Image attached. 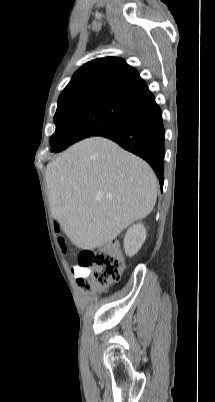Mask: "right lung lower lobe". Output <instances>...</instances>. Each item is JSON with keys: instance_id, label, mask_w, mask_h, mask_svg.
Segmentation results:
<instances>
[{"instance_id": "98d812e1", "label": "right lung lower lobe", "mask_w": 215, "mask_h": 402, "mask_svg": "<svg viewBox=\"0 0 215 402\" xmlns=\"http://www.w3.org/2000/svg\"><path fill=\"white\" fill-rule=\"evenodd\" d=\"M102 136L147 161L155 171L162 189L165 131L162 112L155 98L143 104L140 110L117 130Z\"/></svg>"}]
</instances>
